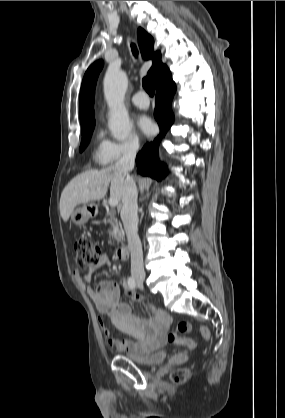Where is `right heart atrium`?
<instances>
[{
    "label": "right heart atrium",
    "instance_id": "d8ad5b80",
    "mask_svg": "<svg viewBox=\"0 0 285 418\" xmlns=\"http://www.w3.org/2000/svg\"><path fill=\"white\" fill-rule=\"evenodd\" d=\"M140 147V139L134 133L125 140L109 142L105 150L104 164L116 165L121 161L133 158L139 152Z\"/></svg>",
    "mask_w": 285,
    "mask_h": 418
}]
</instances>
